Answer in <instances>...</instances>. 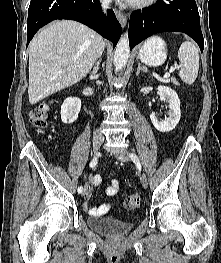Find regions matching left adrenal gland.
I'll use <instances>...</instances> for the list:
<instances>
[{
  "mask_svg": "<svg viewBox=\"0 0 221 263\" xmlns=\"http://www.w3.org/2000/svg\"><path fill=\"white\" fill-rule=\"evenodd\" d=\"M140 71H143L144 73H147L148 69L146 67H141V64L138 63V68H137V72H136L137 76L139 75Z\"/></svg>",
  "mask_w": 221,
  "mask_h": 263,
  "instance_id": "left-adrenal-gland-1",
  "label": "left adrenal gland"
}]
</instances>
